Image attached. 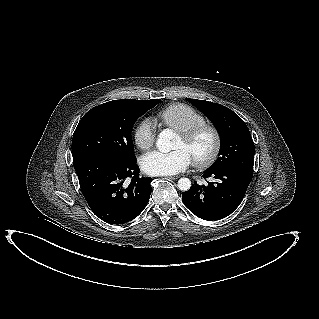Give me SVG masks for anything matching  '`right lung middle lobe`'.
Wrapping results in <instances>:
<instances>
[{
	"label": "right lung middle lobe",
	"mask_w": 319,
	"mask_h": 319,
	"mask_svg": "<svg viewBox=\"0 0 319 319\" xmlns=\"http://www.w3.org/2000/svg\"><path fill=\"white\" fill-rule=\"evenodd\" d=\"M160 102V99H121L89 110L73 135V164L93 155H111L121 161L135 158L132 127L137 118Z\"/></svg>",
	"instance_id": "1"
}]
</instances>
